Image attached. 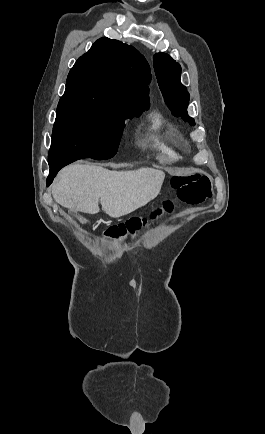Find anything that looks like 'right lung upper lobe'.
<instances>
[{
  "instance_id": "1",
  "label": "right lung upper lobe",
  "mask_w": 265,
  "mask_h": 434,
  "mask_svg": "<svg viewBox=\"0 0 265 434\" xmlns=\"http://www.w3.org/2000/svg\"><path fill=\"white\" fill-rule=\"evenodd\" d=\"M150 78L149 65L139 51L103 37L76 61L68 74L66 87H95L115 99L148 108Z\"/></svg>"
}]
</instances>
